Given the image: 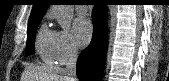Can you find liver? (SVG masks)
<instances>
[{
  "instance_id": "6515ba94",
  "label": "liver",
  "mask_w": 169,
  "mask_h": 81,
  "mask_svg": "<svg viewBox=\"0 0 169 81\" xmlns=\"http://www.w3.org/2000/svg\"><path fill=\"white\" fill-rule=\"evenodd\" d=\"M21 81H72L60 67L28 66L25 68Z\"/></svg>"
}]
</instances>
